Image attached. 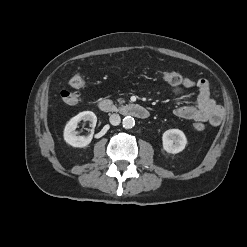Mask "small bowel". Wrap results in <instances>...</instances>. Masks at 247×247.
Instances as JSON below:
<instances>
[{
	"instance_id": "c3829d8e",
	"label": "small bowel",
	"mask_w": 247,
	"mask_h": 247,
	"mask_svg": "<svg viewBox=\"0 0 247 247\" xmlns=\"http://www.w3.org/2000/svg\"><path fill=\"white\" fill-rule=\"evenodd\" d=\"M192 87L198 89L196 104L181 105L174 109V115L182 119L209 122L213 126H218L224 118V109L212 98L206 79L184 78L180 85L173 88V92L178 96H183L185 90Z\"/></svg>"
}]
</instances>
